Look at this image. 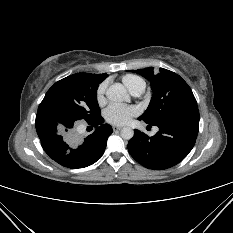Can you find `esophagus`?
Instances as JSON below:
<instances>
[{
    "label": "esophagus",
    "instance_id": "esophagus-1",
    "mask_svg": "<svg viewBox=\"0 0 233 233\" xmlns=\"http://www.w3.org/2000/svg\"><path fill=\"white\" fill-rule=\"evenodd\" d=\"M113 131H120L122 129L121 126H113Z\"/></svg>",
    "mask_w": 233,
    "mask_h": 233
}]
</instances>
